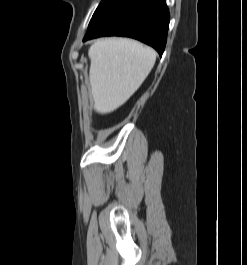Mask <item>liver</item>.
<instances>
[{
  "label": "liver",
  "instance_id": "6515ba94",
  "mask_svg": "<svg viewBox=\"0 0 247 265\" xmlns=\"http://www.w3.org/2000/svg\"><path fill=\"white\" fill-rule=\"evenodd\" d=\"M151 47L128 38H106L89 48V78L94 110L113 112L141 86L156 61Z\"/></svg>",
  "mask_w": 247,
  "mask_h": 265
}]
</instances>
